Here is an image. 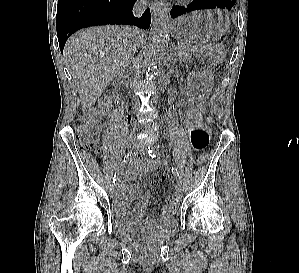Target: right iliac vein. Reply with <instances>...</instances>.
Segmentation results:
<instances>
[{"label":"right iliac vein","mask_w":299,"mask_h":273,"mask_svg":"<svg viewBox=\"0 0 299 273\" xmlns=\"http://www.w3.org/2000/svg\"><path fill=\"white\" fill-rule=\"evenodd\" d=\"M136 147H137V144L134 141H130L127 145V151L129 153H131L136 149ZM113 191H114V186L111 185L110 186V193H113Z\"/></svg>","instance_id":"right-iliac-vein-1"}]
</instances>
